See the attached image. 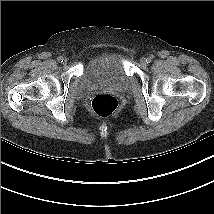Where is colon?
Instances as JSON below:
<instances>
[{"label":"colon","mask_w":214,"mask_h":214,"mask_svg":"<svg viewBox=\"0 0 214 214\" xmlns=\"http://www.w3.org/2000/svg\"><path fill=\"white\" fill-rule=\"evenodd\" d=\"M118 99L112 94H99L92 100L94 112L102 117L113 114L118 108Z\"/></svg>","instance_id":"obj_1"}]
</instances>
